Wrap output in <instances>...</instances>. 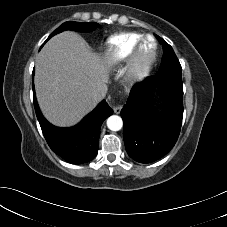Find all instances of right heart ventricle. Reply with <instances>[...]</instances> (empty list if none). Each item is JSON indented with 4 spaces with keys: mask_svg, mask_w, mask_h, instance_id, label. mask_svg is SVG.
<instances>
[{
    "mask_svg": "<svg viewBox=\"0 0 227 227\" xmlns=\"http://www.w3.org/2000/svg\"><path fill=\"white\" fill-rule=\"evenodd\" d=\"M143 34L122 32L110 37L105 45L104 58L109 66L115 67L126 61Z\"/></svg>",
    "mask_w": 227,
    "mask_h": 227,
    "instance_id": "right-heart-ventricle-1",
    "label": "right heart ventricle"
}]
</instances>
